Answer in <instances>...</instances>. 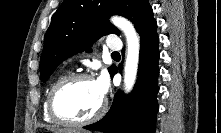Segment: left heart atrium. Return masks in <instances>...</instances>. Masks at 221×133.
Here are the masks:
<instances>
[{
	"mask_svg": "<svg viewBox=\"0 0 221 133\" xmlns=\"http://www.w3.org/2000/svg\"><path fill=\"white\" fill-rule=\"evenodd\" d=\"M95 86L99 92V94L104 97L109 89V82L107 75L105 73H101L99 77L94 80Z\"/></svg>",
	"mask_w": 221,
	"mask_h": 133,
	"instance_id": "39dd6f15",
	"label": "left heart atrium"
}]
</instances>
